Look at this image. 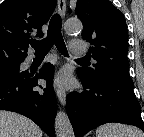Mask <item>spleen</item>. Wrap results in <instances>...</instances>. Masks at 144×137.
I'll list each match as a JSON object with an SVG mask.
<instances>
[{
    "mask_svg": "<svg viewBox=\"0 0 144 137\" xmlns=\"http://www.w3.org/2000/svg\"><path fill=\"white\" fill-rule=\"evenodd\" d=\"M96 137H144V133L133 126L107 123L97 128Z\"/></svg>",
    "mask_w": 144,
    "mask_h": 137,
    "instance_id": "3e777b00",
    "label": "spleen"
}]
</instances>
